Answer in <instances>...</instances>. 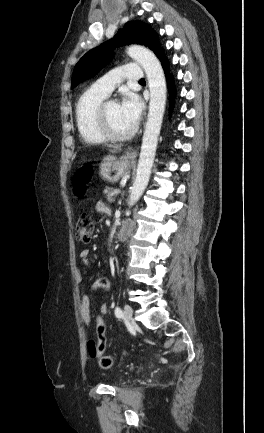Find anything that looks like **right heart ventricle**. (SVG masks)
Segmentation results:
<instances>
[{"label":"right heart ventricle","instance_id":"e07e8e85","mask_svg":"<svg viewBox=\"0 0 264 433\" xmlns=\"http://www.w3.org/2000/svg\"><path fill=\"white\" fill-rule=\"evenodd\" d=\"M106 96L92 88L83 92L75 106V120L82 140L89 144L106 141L96 123V111Z\"/></svg>","mask_w":264,"mask_h":433}]
</instances>
